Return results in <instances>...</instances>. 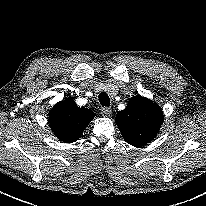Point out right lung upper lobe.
Masks as SVG:
<instances>
[{
	"label": "right lung upper lobe",
	"mask_w": 206,
	"mask_h": 206,
	"mask_svg": "<svg viewBox=\"0 0 206 206\" xmlns=\"http://www.w3.org/2000/svg\"><path fill=\"white\" fill-rule=\"evenodd\" d=\"M94 113L78 107L72 98L57 103L49 113V125L54 135L64 143H72L81 136Z\"/></svg>",
	"instance_id": "obj_1"
}]
</instances>
